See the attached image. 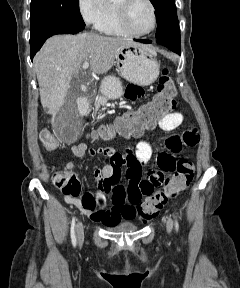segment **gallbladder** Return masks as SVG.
Listing matches in <instances>:
<instances>
[{"label":"gallbladder","instance_id":"gallbladder-1","mask_svg":"<svg viewBox=\"0 0 240 288\" xmlns=\"http://www.w3.org/2000/svg\"><path fill=\"white\" fill-rule=\"evenodd\" d=\"M75 100H76L75 92L70 89L66 97V103L54 117V121L56 123L64 124L71 117L78 114Z\"/></svg>","mask_w":240,"mask_h":288}]
</instances>
